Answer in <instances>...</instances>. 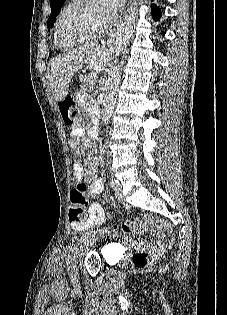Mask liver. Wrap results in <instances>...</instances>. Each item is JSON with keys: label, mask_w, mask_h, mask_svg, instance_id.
I'll list each match as a JSON object with an SVG mask.
<instances>
[{"label": "liver", "mask_w": 227, "mask_h": 315, "mask_svg": "<svg viewBox=\"0 0 227 315\" xmlns=\"http://www.w3.org/2000/svg\"><path fill=\"white\" fill-rule=\"evenodd\" d=\"M93 54L100 69L104 67L107 53L102 49L91 52L81 48L59 55L49 63L47 79L56 101H62L68 93L74 74L82 67L85 58Z\"/></svg>", "instance_id": "6515ba94"}]
</instances>
